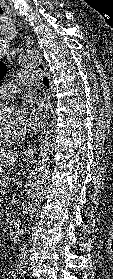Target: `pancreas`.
<instances>
[{
  "mask_svg": "<svg viewBox=\"0 0 113 279\" xmlns=\"http://www.w3.org/2000/svg\"><path fill=\"white\" fill-rule=\"evenodd\" d=\"M8 183V178H3L0 180V194H4L6 192Z\"/></svg>",
  "mask_w": 113,
  "mask_h": 279,
  "instance_id": "obj_1",
  "label": "pancreas"
}]
</instances>
